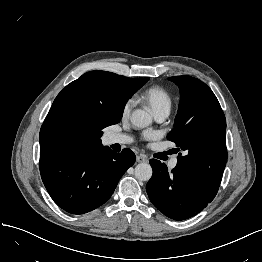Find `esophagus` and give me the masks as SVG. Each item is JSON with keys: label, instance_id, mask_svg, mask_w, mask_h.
Segmentation results:
<instances>
[{"label": "esophagus", "instance_id": "esophagus-1", "mask_svg": "<svg viewBox=\"0 0 262 262\" xmlns=\"http://www.w3.org/2000/svg\"><path fill=\"white\" fill-rule=\"evenodd\" d=\"M136 161H137L138 163H145V162L148 161V158H147L146 155L140 154V155H137V156H136Z\"/></svg>", "mask_w": 262, "mask_h": 262}]
</instances>
